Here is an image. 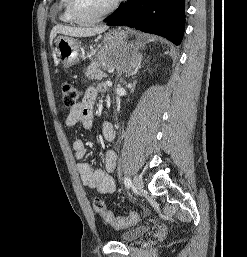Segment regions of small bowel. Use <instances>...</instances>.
<instances>
[{"instance_id":"c3829d8e","label":"small bowel","mask_w":247,"mask_h":257,"mask_svg":"<svg viewBox=\"0 0 247 257\" xmlns=\"http://www.w3.org/2000/svg\"><path fill=\"white\" fill-rule=\"evenodd\" d=\"M106 85L99 84L97 87L86 89L83 99L73 107L69 108L65 116L67 127L81 124V126L90 130L93 126V108L98 92H104ZM102 136L106 141H112L115 137V129L111 122L105 121L101 126ZM75 157L78 160L77 170L80 174L84 186L96 190L100 194H112L116 190V184L111 176L116 166V153L108 150L105 154L104 168L94 170L84 159L87 156L88 149L83 141L76 140L73 143Z\"/></svg>"}]
</instances>
